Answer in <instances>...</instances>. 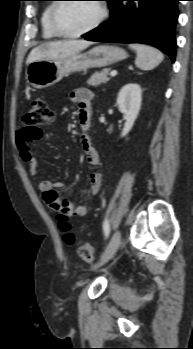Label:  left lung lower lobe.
I'll return each instance as SVG.
<instances>
[{
	"label": "left lung lower lobe",
	"instance_id": "obj_1",
	"mask_svg": "<svg viewBox=\"0 0 193 349\" xmlns=\"http://www.w3.org/2000/svg\"><path fill=\"white\" fill-rule=\"evenodd\" d=\"M178 1L109 0V21L83 37L89 41L149 44L166 52L174 61Z\"/></svg>",
	"mask_w": 193,
	"mask_h": 349
}]
</instances>
